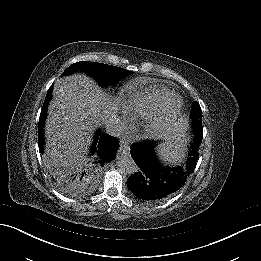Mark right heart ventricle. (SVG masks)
<instances>
[{
  "label": "right heart ventricle",
  "mask_w": 261,
  "mask_h": 261,
  "mask_svg": "<svg viewBox=\"0 0 261 261\" xmlns=\"http://www.w3.org/2000/svg\"><path fill=\"white\" fill-rule=\"evenodd\" d=\"M174 93L161 86H151L131 91L121 101L123 113L140 122L158 111Z\"/></svg>",
  "instance_id": "1"
}]
</instances>
